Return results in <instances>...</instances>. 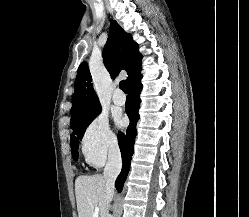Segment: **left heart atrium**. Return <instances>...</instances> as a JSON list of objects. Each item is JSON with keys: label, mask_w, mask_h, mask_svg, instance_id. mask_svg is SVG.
<instances>
[{"label": "left heart atrium", "mask_w": 249, "mask_h": 217, "mask_svg": "<svg viewBox=\"0 0 249 217\" xmlns=\"http://www.w3.org/2000/svg\"><path fill=\"white\" fill-rule=\"evenodd\" d=\"M118 122H119V125H121V126L124 125V120L120 119Z\"/></svg>", "instance_id": "1"}]
</instances>
